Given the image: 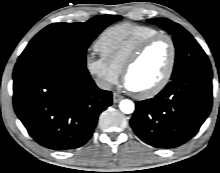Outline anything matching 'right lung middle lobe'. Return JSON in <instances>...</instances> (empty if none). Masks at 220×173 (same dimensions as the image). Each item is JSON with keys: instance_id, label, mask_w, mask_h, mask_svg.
<instances>
[{"instance_id": "1", "label": "right lung middle lobe", "mask_w": 220, "mask_h": 173, "mask_svg": "<svg viewBox=\"0 0 220 173\" xmlns=\"http://www.w3.org/2000/svg\"><path fill=\"white\" fill-rule=\"evenodd\" d=\"M120 19L119 15H104L85 23H53L29 42L18 62L60 56L86 66L85 55L90 43L103 29Z\"/></svg>"}]
</instances>
